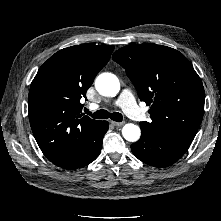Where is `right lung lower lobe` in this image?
I'll return each mask as SVG.
<instances>
[{
    "label": "right lung lower lobe",
    "instance_id": "obj_1",
    "mask_svg": "<svg viewBox=\"0 0 221 221\" xmlns=\"http://www.w3.org/2000/svg\"><path fill=\"white\" fill-rule=\"evenodd\" d=\"M108 127H109V124L107 121H100V123L95 127V129L93 130V132L91 133L89 137L88 150L83 159L73 164H67L64 166L57 165V166L68 169V170H74L80 167H84L87 164L94 161L98 157L101 151L103 136L107 132Z\"/></svg>",
    "mask_w": 221,
    "mask_h": 221
}]
</instances>
